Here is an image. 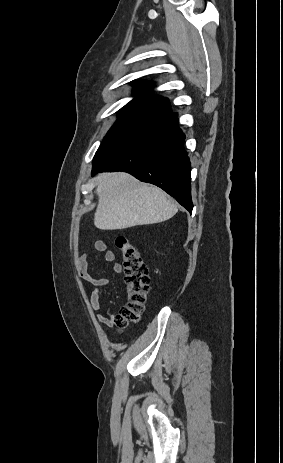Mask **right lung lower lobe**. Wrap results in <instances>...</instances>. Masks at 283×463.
<instances>
[{
    "instance_id": "obj_1",
    "label": "right lung lower lobe",
    "mask_w": 283,
    "mask_h": 463,
    "mask_svg": "<svg viewBox=\"0 0 283 463\" xmlns=\"http://www.w3.org/2000/svg\"><path fill=\"white\" fill-rule=\"evenodd\" d=\"M177 122L169 112L123 136L94 156L92 174L128 172L162 188L191 213L190 161Z\"/></svg>"
}]
</instances>
